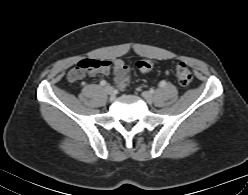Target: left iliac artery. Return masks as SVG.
<instances>
[{"label":"left iliac artery","instance_id":"left-iliac-artery-1","mask_svg":"<svg viewBox=\"0 0 248 195\" xmlns=\"http://www.w3.org/2000/svg\"><path fill=\"white\" fill-rule=\"evenodd\" d=\"M165 85H166V81H164V80L159 83L160 87H164Z\"/></svg>","mask_w":248,"mask_h":195}]
</instances>
